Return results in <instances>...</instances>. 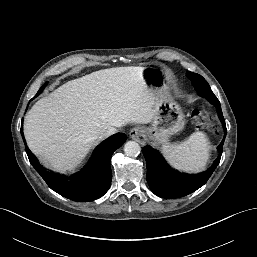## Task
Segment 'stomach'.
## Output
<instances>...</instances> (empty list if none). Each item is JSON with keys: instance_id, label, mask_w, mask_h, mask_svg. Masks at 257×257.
Segmentation results:
<instances>
[{"instance_id": "0dacf381", "label": "stomach", "mask_w": 257, "mask_h": 257, "mask_svg": "<svg viewBox=\"0 0 257 257\" xmlns=\"http://www.w3.org/2000/svg\"><path fill=\"white\" fill-rule=\"evenodd\" d=\"M142 76L150 87L161 92L151 125L143 127V132L155 144H167L184 129L186 122L182 109L169 93L170 72L164 65L150 63L142 67Z\"/></svg>"}]
</instances>
